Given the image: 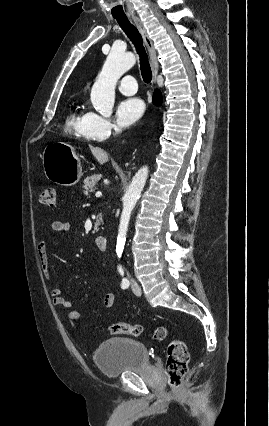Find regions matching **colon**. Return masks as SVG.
Masks as SVG:
<instances>
[{"label":"colon","mask_w":269,"mask_h":426,"mask_svg":"<svg viewBox=\"0 0 269 426\" xmlns=\"http://www.w3.org/2000/svg\"><path fill=\"white\" fill-rule=\"evenodd\" d=\"M40 201L45 206H55L56 194L54 188H43L40 194ZM74 313L78 319V313ZM104 328L111 334L140 336L144 332V327L140 324L123 322L110 323L105 325ZM153 338L157 341L168 342L166 359L167 384L171 390H177L188 371L189 353L187 347L182 340L171 337L167 327L162 325L154 328Z\"/></svg>","instance_id":"obj_1"}]
</instances>
